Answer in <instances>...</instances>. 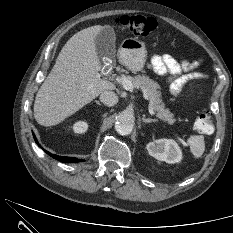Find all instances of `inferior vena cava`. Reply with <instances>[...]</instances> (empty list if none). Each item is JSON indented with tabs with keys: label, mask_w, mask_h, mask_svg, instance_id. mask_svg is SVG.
<instances>
[{
	"label": "inferior vena cava",
	"mask_w": 233,
	"mask_h": 233,
	"mask_svg": "<svg viewBox=\"0 0 233 233\" xmlns=\"http://www.w3.org/2000/svg\"><path fill=\"white\" fill-rule=\"evenodd\" d=\"M100 101L106 106H114L118 102V96L113 91H104L100 95Z\"/></svg>",
	"instance_id": "602c4592"
}]
</instances>
